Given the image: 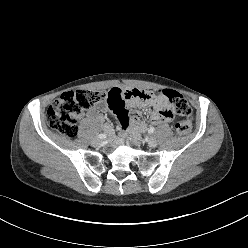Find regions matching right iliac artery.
Listing matches in <instances>:
<instances>
[{
  "instance_id": "82829eb1",
  "label": "right iliac artery",
  "mask_w": 248,
  "mask_h": 248,
  "mask_svg": "<svg viewBox=\"0 0 248 248\" xmlns=\"http://www.w3.org/2000/svg\"><path fill=\"white\" fill-rule=\"evenodd\" d=\"M98 137H99L100 139H105V138H106V134H99Z\"/></svg>"
}]
</instances>
